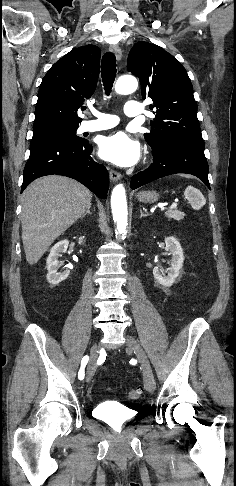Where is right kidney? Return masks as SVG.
<instances>
[{
    "label": "right kidney",
    "mask_w": 236,
    "mask_h": 486,
    "mask_svg": "<svg viewBox=\"0 0 236 486\" xmlns=\"http://www.w3.org/2000/svg\"><path fill=\"white\" fill-rule=\"evenodd\" d=\"M83 243V238H79V244ZM69 245L68 240H62L56 243L50 250V254L47 258V281L52 286L58 285L61 281L65 280L68 275L69 271H64L62 273H58V257L61 253H65L67 251Z\"/></svg>",
    "instance_id": "ca27d5eb"
}]
</instances>
